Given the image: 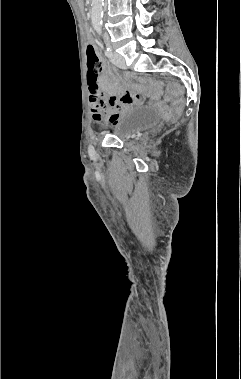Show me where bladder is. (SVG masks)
<instances>
[{"mask_svg": "<svg viewBox=\"0 0 241 379\" xmlns=\"http://www.w3.org/2000/svg\"><path fill=\"white\" fill-rule=\"evenodd\" d=\"M160 121L159 112L150 106H135L114 124V135L122 140L153 128Z\"/></svg>", "mask_w": 241, "mask_h": 379, "instance_id": "31cf9c89", "label": "bladder"}]
</instances>
